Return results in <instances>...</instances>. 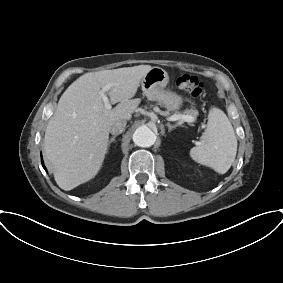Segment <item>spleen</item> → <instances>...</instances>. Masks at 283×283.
Returning a JSON list of instances; mask_svg holds the SVG:
<instances>
[{"label": "spleen", "instance_id": "spleen-1", "mask_svg": "<svg viewBox=\"0 0 283 283\" xmlns=\"http://www.w3.org/2000/svg\"><path fill=\"white\" fill-rule=\"evenodd\" d=\"M236 153L237 139L232 124L222 110L211 108L201 145L190 150V157L219 174H225L233 164Z\"/></svg>", "mask_w": 283, "mask_h": 283}]
</instances>
